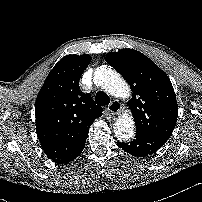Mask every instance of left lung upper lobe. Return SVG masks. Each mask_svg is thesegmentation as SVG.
I'll list each match as a JSON object with an SVG mask.
<instances>
[{
    "label": "left lung upper lobe",
    "instance_id": "1",
    "mask_svg": "<svg viewBox=\"0 0 202 202\" xmlns=\"http://www.w3.org/2000/svg\"><path fill=\"white\" fill-rule=\"evenodd\" d=\"M106 58L132 88V99L127 105L134 116L136 133L169 138L176 125L178 107L168 76L134 49L109 52Z\"/></svg>",
    "mask_w": 202,
    "mask_h": 202
}]
</instances>
